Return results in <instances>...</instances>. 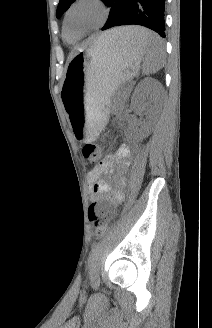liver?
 I'll list each match as a JSON object with an SVG mask.
<instances>
[{"mask_svg": "<svg viewBox=\"0 0 212 328\" xmlns=\"http://www.w3.org/2000/svg\"><path fill=\"white\" fill-rule=\"evenodd\" d=\"M132 30L133 27H121V28L112 29L108 32L103 33L98 39L105 40L108 38H119V39L130 41Z\"/></svg>", "mask_w": 212, "mask_h": 328, "instance_id": "liver-1", "label": "liver"}]
</instances>
